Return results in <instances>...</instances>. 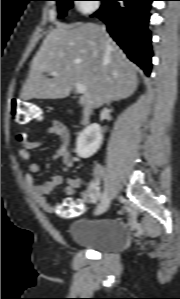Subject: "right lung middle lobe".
<instances>
[{
  "mask_svg": "<svg viewBox=\"0 0 180 299\" xmlns=\"http://www.w3.org/2000/svg\"><path fill=\"white\" fill-rule=\"evenodd\" d=\"M56 1L58 2L59 18H62L66 15V11L73 6L72 1L74 0H56Z\"/></svg>",
  "mask_w": 180,
  "mask_h": 299,
  "instance_id": "1",
  "label": "right lung middle lobe"
}]
</instances>
